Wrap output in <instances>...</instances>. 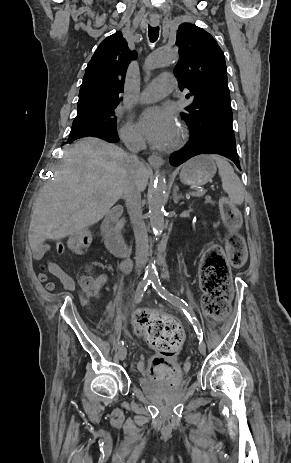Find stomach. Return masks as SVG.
Instances as JSON below:
<instances>
[{"label": "stomach", "instance_id": "obj_1", "mask_svg": "<svg viewBox=\"0 0 291 463\" xmlns=\"http://www.w3.org/2000/svg\"><path fill=\"white\" fill-rule=\"evenodd\" d=\"M216 173L215 163L206 156H197L186 162L180 172V180L191 186H201L211 181Z\"/></svg>", "mask_w": 291, "mask_h": 463}]
</instances>
